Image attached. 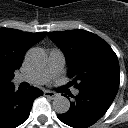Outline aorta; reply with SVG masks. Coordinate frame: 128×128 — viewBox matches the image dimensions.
I'll list each match as a JSON object with an SVG mask.
<instances>
[{
	"instance_id": "762f6f07",
	"label": "aorta",
	"mask_w": 128,
	"mask_h": 128,
	"mask_svg": "<svg viewBox=\"0 0 128 128\" xmlns=\"http://www.w3.org/2000/svg\"><path fill=\"white\" fill-rule=\"evenodd\" d=\"M46 54L41 48H31L25 55L26 62L32 67H41L46 63ZM53 109L58 114H64L70 109V101L62 95L53 99Z\"/></svg>"
}]
</instances>
